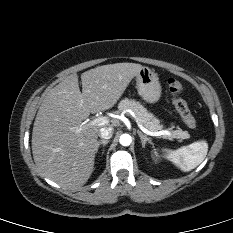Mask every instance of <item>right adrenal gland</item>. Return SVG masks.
Masks as SVG:
<instances>
[{"label":"right adrenal gland","instance_id":"1","mask_svg":"<svg viewBox=\"0 0 233 233\" xmlns=\"http://www.w3.org/2000/svg\"><path fill=\"white\" fill-rule=\"evenodd\" d=\"M109 143V140H101V141H99L98 143H97V151H98V149H99V147L101 146V145H103V147H105L107 144Z\"/></svg>","mask_w":233,"mask_h":233}]
</instances>
